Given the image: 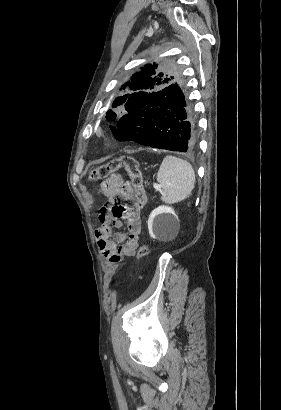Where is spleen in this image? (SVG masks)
Wrapping results in <instances>:
<instances>
[{"mask_svg":"<svg viewBox=\"0 0 281 410\" xmlns=\"http://www.w3.org/2000/svg\"><path fill=\"white\" fill-rule=\"evenodd\" d=\"M157 181L162 188L161 200L177 203L184 200L194 188L195 173L189 162L168 155L160 165Z\"/></svg>","mask_w":281,"mask_h":410,"instance_id":"3e777b00","label":"spleen"}]
</instances>
